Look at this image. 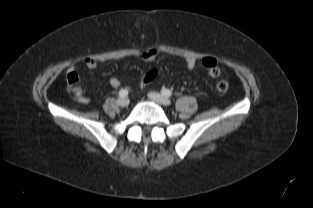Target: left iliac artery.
<instances>
[{"label": "left iliac artery", "instance_id": "left-iliac-artery-1", "mask_svg": "<svg viewBox=\"0 0 313 208\" xmlns=\"http://www.w3.org/2000/svg\"><path fill=\"white\" fill-rule=\"evenodd\" d=\"M161 93H162L163 95L167 96V97L172 96L171 90L166 89V88H163V89L161 90Z\"/></svg>", "mask_w": 313, "mask_h": 208}]
</instances>
